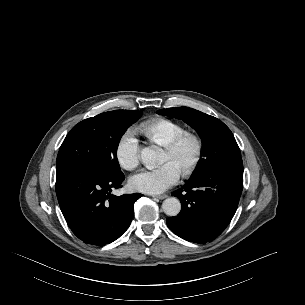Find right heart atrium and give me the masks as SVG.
<instances>
[{
    "label": "right heart atrium",
    "mask_w": 305,
    "mask_h": 305,
    "mask_svg": "<svg viewBox=\"0 0 305 305\" xmlns=\"http://www.w3.org/2000/svg\"><path fill=\"white\" fill-rule=\"evenodd\" d=\"M118 164L125 170L135 169L140 162V147L136 134L127 130L119 138L115 147Z\"/></svg>",
    "instance_id": "obj_1"
}]
</instances>
